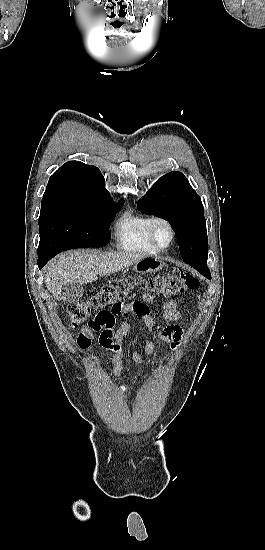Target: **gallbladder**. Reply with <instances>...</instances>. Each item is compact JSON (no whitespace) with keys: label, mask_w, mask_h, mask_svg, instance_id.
<instances>
[{"label":"gallbladder","mask_w":265,"mask_h":550,"mask_svg":"<svg viewBox=\"0 0 265 550\" xmlns=\"http://www.w3.org/2000/svg\"><path fill=\"white\" fill-rule=\"evenodd\" d=\"M83 292V286L78 283H66L62 287V297L69 303L79 300L82 297Z\"/></svg>","instance_id":"gallbladder-1"}]
</instances>
